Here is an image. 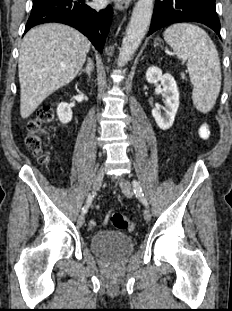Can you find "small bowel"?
Returning <instances> with one entry per match:
<instances>
[{"mask_svg":"<svg viewBox=\"0 0 232 311\" xmlns=\"http://www.w3.org/2000/svg\"><path fill=\"white\" fill-rule=\"evenodd\" d=\"M200 134L203 138H207L209 136V129H208V126L207 125H203L201 128H200ZM89 225L91 227H97V223L95 220L91 219L89 221Z\"/></svg>","mask_w":232,"mask_h":311,"instance_id":"1","label":"small bowel"}]
</instances>
